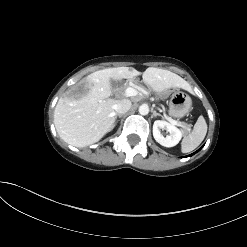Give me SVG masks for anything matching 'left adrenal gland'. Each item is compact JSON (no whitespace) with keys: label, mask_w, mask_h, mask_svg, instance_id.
<instances>
[{"label":"left adrenal gland","mask_w":247,"mask_h":247,"mask_svg":"<svg viewBox=\"0 0 247 247\" xmlns=\"http://www.w3.org/2000/svg\"><path fill=\"white\" fill-rule=\"evenodd\" d=\"M152 112H153L154 117L161 116L163 118V116L161 114L157 113L156 111L152 110Z\"/></svg>","instance_id":"left-adrenal-gland-1"}]
</instances>
